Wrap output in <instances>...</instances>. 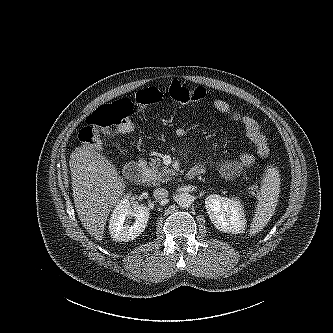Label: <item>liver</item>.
Here are the masks:
<instances>
[{"instance_id":"liver-1","label":"liver","mask_w":333,"mask_h":333,"mask_svg":"<svg viewBox=\"0 0 333 333\" xmlns=\"http://www.w3.org/2000/svg\"><path fill=\"white\" fill-rule=\"evenodd\" d=\"M69 166L78 217L88 233L101 241L109 213L124 194L125 182L116 167L89 145L71 153Z\"/></svg>"}]
</instances>
